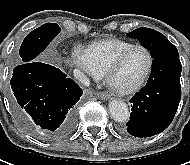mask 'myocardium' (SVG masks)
I'll return each instance as SVG.
<instances>
[{
    "mask_svg": "<svg viewBox=\"0 0 190 165\" xmlns=\"http://www.w3.org/2000/svg\"><path fill=\"white\" fill-rule=\"evenodd\" d=\"M135 49H142L147 53L148 59H149L147 69L138 82H136L135 84L128 86V87H120L113 82V77H114L115 73L118 71V69L120 68V66H121L124 58L127 56V54H129L131 51H133ZM153 65H154V57H153V54L150 51V49L141 44H134V45L124 49L115 58V60L110 65L109 69L107 70V72L105 74L106 83L112 90H114L115 92H117L119 94H122V95L132 94V93L138 91L145 84V82L147 81L148 77L150 76V74L152 72Z\"/></svg>",
    "mask_w": 190,
    "mask_h": 165,
    "instance_id": "f54148a6",
    "label": "myocardium"
}]
</instances>
